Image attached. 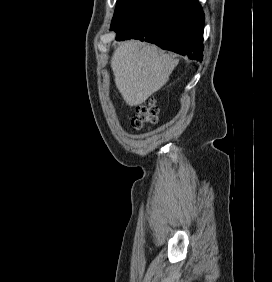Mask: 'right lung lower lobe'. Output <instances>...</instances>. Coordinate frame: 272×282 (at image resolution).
<instances>
[{
    "label": "right lung lower lobe",
    "instance_id": "1",
    "mask_svg": "<svg viewBox=\"0 0 272 282\" xmlns=\"http://www.w3.org/2000/svg\"><path fill=\"white\" fill-rule=\"evenodd\" d=\"M111 28L117 40L139 39L203 58L204 13L197 0H139Z\"/></svg>",
    "mask_w": 272,
    "mask_h": 282
}]
</instances>
